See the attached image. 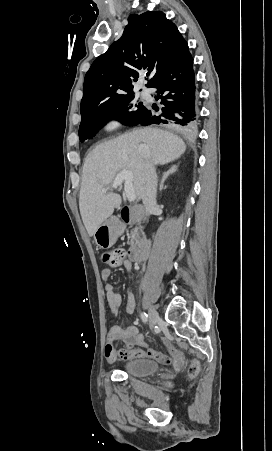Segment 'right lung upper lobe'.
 <instances>
[{
  "instance_id": "right-lung-upper-lobe-1",
  "label": "right lung upper lobe",
  "mask_w": 272,
  "mask_h": 451,
  "mask_svg": "<svg viewBox=\"0 0 272 451\" xmlns=\"http://www.w3.org/2000/svg\"><path fill=\"white\" fill-rule=\"evenodd\" d=\"M188 44L161 11L128 18L122 37L95 59L84 79L80 112L134 95L133 84L142 70L152 73L147 87L187 52Z\"/></svg>"
}]
</instances>
